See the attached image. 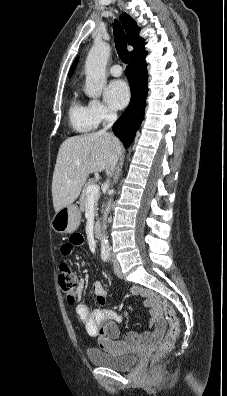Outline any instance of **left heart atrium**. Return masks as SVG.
<instances>
[{
  "label": "left heart atrium",
  "instance_id": "1",
  "mask_svg": "<svg viewBox=\"0 0 227 396\" xmlns=\"http://www.w3.org/2000/svg\"><path fill=\"white\" fill-rule=\"evenodd\" d=\"M104 96L110 106L122 109L130 99L129 87L123 80H114L107 86Z\"/></svg>",
  "mask_w": 227,
  "mask_h": 396
}]
</instances>
